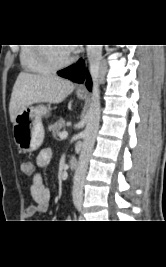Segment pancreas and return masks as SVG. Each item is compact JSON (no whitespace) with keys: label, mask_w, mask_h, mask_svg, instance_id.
<instances>
[{"label":"pancreas","mask_w":166,"mask_h":267,"mask_svg":"<svg viewBox=\"0 0 166 267\" xmlns=\"http://www.w3.org/2000/svg\"><path fill=\"white\" fill-rule=\"evenodd\" d=\"M65 127V121L60 119L55 124L49 127V130L52 131V135L56 137L60 134L61 129Z\"/></svg>","instance_id":"1"}]
</instances>
